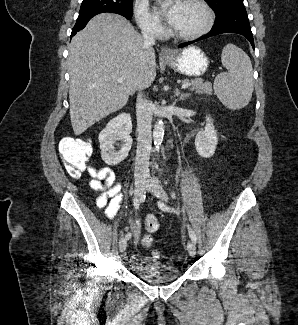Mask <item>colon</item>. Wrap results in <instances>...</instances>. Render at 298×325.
<instances>
[{"instance_id": "colon-1", "label": "colon", "mask_w": 298, "mask_h": 325, "mask_svg": "<svg viewBox=\"0 0 298 325\" xmlns=\"http://www.w3.org/2000/svg\"><path fill=\"white\" fill-rule=\"evenodd\" d=\"M80 152H74V150H65L63 154V159L65 167L70 176L74 178H79L85 171H90L93 167L89 165V157L91 148L87 142H82L81 146L78 148ZM144 225L148 233H155L159 229L158 219L149 214L145 217ZM151 243V238L146 236L143 239V244L149 246ZM154 257L158 258L159 254L154 252Z\"/></svg>"}]
</instances>
